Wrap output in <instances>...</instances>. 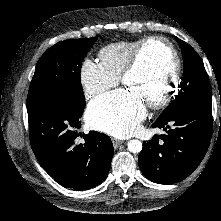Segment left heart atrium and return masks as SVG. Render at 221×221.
<instances>
[{
  "label": "left heart atrium",
  "instance_id": "left-heart-atrium-1",
  "mask_svg": "<svg viewBox=\"0 0 221 221\" xmlns=\"http://www.w3.org/2000/svg\"><path fill=\"white\" fill-rule=\"evenodd\" d=\"M145 115V103L127 88L98 97L87 109L91 126L117 138L134 134Z\"/></svg>",
  "mask_w": 221,
  "mask_h": 221
}]
</instances>
